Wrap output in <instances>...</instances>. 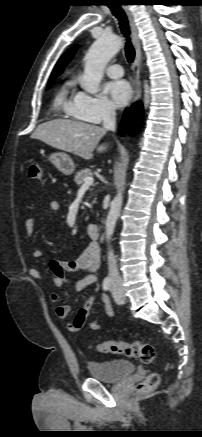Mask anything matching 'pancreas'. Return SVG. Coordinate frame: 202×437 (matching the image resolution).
Returning <instances> with one entry per match:
<instances>
[{
    "label": "pancreas",
    "mask_w": 202,
    "mask_h": 437,
    "mask_svg": "<svg viewBox=\"0 0 202 437\" xmlns=\"http://www.w3.org/2000/svg\"><path fill=\"white\" fill-rule=\"evenodd\" d=\"M92 172L90 169L80 170L76 173L74 181L77 185H81L87 177H91Z\"/></svg>",
    "instance_id": "1"
}]
</instances>
